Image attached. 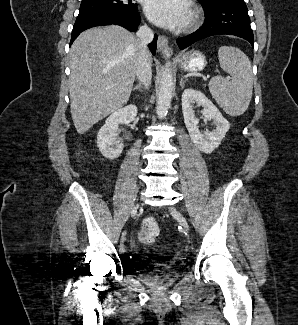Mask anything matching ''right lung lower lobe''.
<instances>
[{
	"label": "right lung lower lobe",
	"mask_w": 298,
	"mask_h": 325,
	"mask_svg": "<svg viewBox=\"0 0 298 325\" xmlns=\"http://www.w3.org/2000/svg\"><path fill=\"white\" fill-rule=\"evenodd\" d=\"M140 16L137 10L135 11H121L111 10L98 13H91L86 15H78L75 25L73 26L71 42L78 37V35L91 27L115 24L125 27L129 31H136L140 24ZM157 35L149 44V49L153 55L156 53Z\"/></svg>",
	"instance_id": "right-lung-lower-lobe-1"
}]
</instances>
